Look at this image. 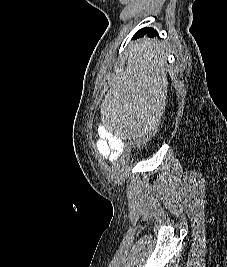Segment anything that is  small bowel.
Here are the masks:
<instances>
[{"instance_id":"obj_1","label":"small bowel","mask_w":227,"mask_h":267,"mask_svg":"<svg viewBox=\"0 0 227 267\" xmlns=\"http://www.w3.org/2000/svg\"><path fill=\"white\" fill-rule=\"evenodd\" d=\"M124 139L117 137L109 131H103L101 139L98 140L96 148L101 154L103 160L114 161L118 159L122 151L124 150Z\"/></svg>"}]
</instances>
